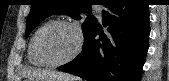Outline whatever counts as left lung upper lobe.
Here are the masks:
<instances>
[{
	"mask_svg": "<svg viewBox=\"0 0 169 81\" xmlns=\"http://www.w3.org/2000/svg\"><path fill=\"white\" fill-rule=\"evenodd\" d=\"M32 8L27 18L26 35L45 18L53 14H66L74 19H80V14L86 12L91 5L82 4L80 0H32ZM97 20L93 16L86 18L82 25L84 37L95 26Z\"/></svg>",
	"mask_w": 169,
	"mask_h": 81,
	"instance_id": "1",
	"label": "left lung upper lobe"
}]
</instances>
